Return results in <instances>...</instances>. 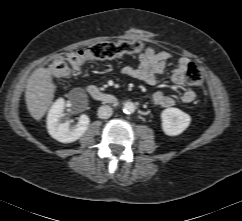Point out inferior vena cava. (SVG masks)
Wrapping results in <instances>:
<instances>
[{"label":"inferior vena cava","mask_w":242,"mask_h":221,"mask_svg":"<svg viewBox=\"0 0 242 221\" xmlns=\"http://www.w3.org/2000/svg\"><path fill=\"white\" fill-rule=\"evenodd\" d=\"M113 114V110L109 105H103L98 109V117L101 119H107L111 117Z\"/></svg>","instance_id":"602c4592"}]
</instances>
